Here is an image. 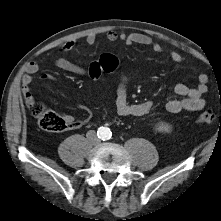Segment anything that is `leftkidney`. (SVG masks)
<instances>
[{"label": "left kidney", "mask_w": 221, "mask_h": 221, "mask_svg": "<svg viewBox=\"0 0 221 221\" xmlns=\"http://www.w3.org/2000/svg\"><path fill=\"white\" fill-rule=\"evenodd\" d=\"M156 127H157V130L160 132L168 133L171 131V127L168 124L163 123V122L158 123Z\"/></svg>", "instance_id": "obj_1"}]
</instances>
